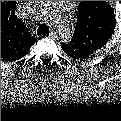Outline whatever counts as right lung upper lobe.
<instances>
[{"instance_id":"obj_1","label":"right lung upper lobe","mask_w":121,"mask_h":121,"mask_svg":"<svg viewBox=\"0 0 121 121\" xmlns=\"http://www.w3.org/2000/svg\"><path fill=\"white\" fill-rule=\"evenodd\" d=\"M15 2L1 3V58L15 60L28 53L35 39L15 15Z\"/></svg>"}]
</instances>
